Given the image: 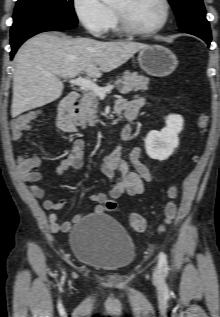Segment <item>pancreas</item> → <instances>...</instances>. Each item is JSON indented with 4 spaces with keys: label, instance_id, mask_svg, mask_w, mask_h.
Returning <instances> with one entry per match:
<instances>
[{
    "label": "pancreas",
    "instance_id": "obj_1",
    "mask_svg": "<svg viewBox=\"0 0 220 317\" xmlns=\"http://www.w3.org/2000/svg\"><path fill=\"white\" fill-rule=\"evenodd\" d=\"M115 84L118 85V90L122 94L129 93L130 91H145L148 89L149 78L136 72H125L120 79L115 81ZM106 85L110 86L109 83ZM97 107L98 96L92 91L86 92L81 99V107L76 117V124L82 128L94 126L98 121L96 115Z\"/></svg>",
    "mask_w": 220,
    "mask_h": 317
}]
</instances>
